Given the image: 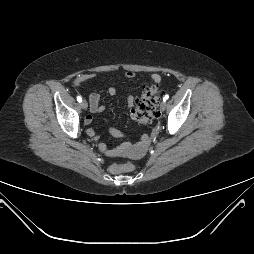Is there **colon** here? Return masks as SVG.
I'll return each mask as SVG.
<instances>
[{"label": "colon", "instance_id": "colon-1", "mask_svg": "<svg viewBox=\"0 0 254 254\" xmlns=\"http://www.w3.org/2000/svg\"><path fill=\"white\" fill-rule=\"evenodd\" d=\"M161 96L160 90L156 86L147 87L143 91L142 98L132 109V119L142 125L149 124L158 116V102ZM134 169L131 163H114L111 166L113 173L127 172Z\"/></svg>", "mask_w": 254, "mask_h": 254}]
</instances>
